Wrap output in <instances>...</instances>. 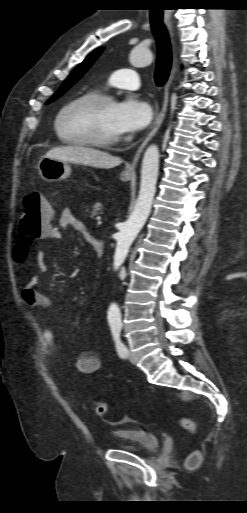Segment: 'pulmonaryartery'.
Returning <instances> with one entry per match:
<instances>
[{
    "label": "pulmonary artery",
    "instance_id": "pulmonary-artery-1",
    "mask_svg": "<svg viewBox=\"0 0 247 513\" xmlns=\"http://www.w3.org/2000/svg\"><path fill=\"white\" fill-rule=\"evenodd\" d=\"M108 83L113 87L135 90L140 87V78L133 69H120L110 75Z\"/></svg>",
    "mask_w": 247,
    "mask_h": 513
}]
</instances>
